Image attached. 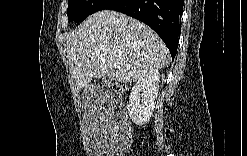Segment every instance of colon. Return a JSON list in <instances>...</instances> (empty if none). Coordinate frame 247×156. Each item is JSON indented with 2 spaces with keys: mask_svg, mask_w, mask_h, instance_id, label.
I'll list each match as a JSON object with an SVG mask.
<instances>
[{
  "mask_svg": "<svg viewBox=\"0 0 247 156\" xmlns=\"http://www.w3.org/2000/svg\"><path fill=\"white\" fill-rule=\"evenodd\" d=\"M112 89L118 95L124 94L126 92V87L124 85L118 84V83L114 84L112 86Z\"/></svg>",
  "mask_w": 247,
  "mask_h": 156,
  "instance_id": "obj_1",
  "label": "colon"
}]
</instances>
